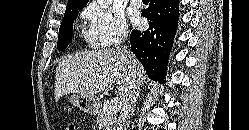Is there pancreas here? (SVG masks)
<instances>
[{
	"mask_svg": "<svg viewBox=\"0 0 249 130\" xmlns=\"http://www.w3.org/2000/svg\"><path fill=\"white\" fill-rule=\"evenodd\" d=\"M116 114L109 112V106L98 111L96 124L99 130H115Z\"/></svg>",
	"mask_w": 249,
	"mask_h": 130,
	"instance_id": "obj_1",
	"label": "pancreas"
}]
</instances>
